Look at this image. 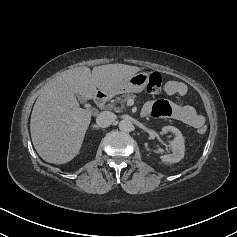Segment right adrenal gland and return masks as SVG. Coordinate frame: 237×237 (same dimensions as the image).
Wrapping results in <instances>:
<instances>
[{
	"mask_svg": "<svg viewBox=\"0 0 237 237\" xmlns=\"http://www.w3.org/2000/svg\"><path fill=\"white\" fill-rule=\"evenodd\" d=\"M92 128H95L98 130L100 127L98 125L94 124V125H92Z\"/></svg>",
	"mask_w": 237,
	"mask_h": 237,
	"instance_id": "2a0ac1e0",
	"label": "right adrenal gland"
}]
</instances>
